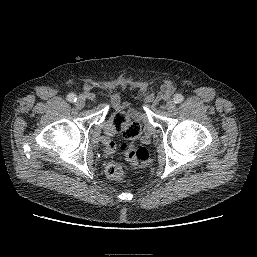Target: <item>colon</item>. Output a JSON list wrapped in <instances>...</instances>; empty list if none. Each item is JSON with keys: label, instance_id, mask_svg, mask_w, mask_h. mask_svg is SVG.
<instances>
[{"label": "colon", "instance_id": "obj_1", "mask_svg": "<svg viewBox=\"0 0 257 257\" xmlns=\"http://www.w3.org/2000/svg\"><path fill=\"white\" fill-rule=\"evenodd\" d=\"M105 133L103 144L108 151H112L115 148V143L111 139L114 134H122L127 141L124 146L126 161L112 162L107 167V174L111 178H123L129 170L128 163L138 166H145L149 163L150 155L148 150L144 147H136L132 143L140 136L141 127L139 123L131 121L125 113H115L106 123Z\"/></svg>", "mask_w": 257, "mask_h": 257}]
</instances>
